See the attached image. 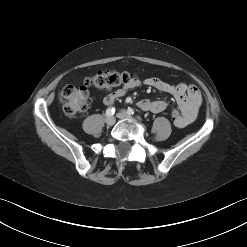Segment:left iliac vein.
Returning <instances> with one entry per match:
<instances>
[{
  "label": "left iliac vein",
  "instance_id": "left-iliac-vein-1",
  "mask_svg": "<svg viewBox=\"0 0 247 247\" xmlns=\"http://www.w3.org/2000/svg\"><path fill=\"white\" fill-rule=\"evenodd\" d=\"M117 117H118L119 119H126V118H130V116H128V115L126 114V112H125V111H121V112H119V113L117 114Z\"/></svg>",
  "mask_w": 247,
  "mask_h": 247
}]
</instances>
